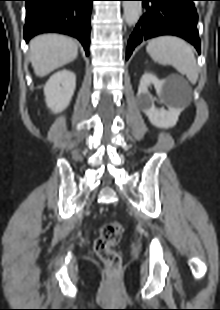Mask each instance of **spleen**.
Segmentation results:
<instances>
[{
  "label": "spleen",
  "instance_id": "obj_1",
  "mask_svg": "<svg viewBox=\"0 0 220 310\" xmlns=\"http://www.w3.org/2000/svg\"><path fill=\"white\" fill-rule=\"evenodd\" d=\"M150 57L161 65H172L178 72L186 75L190 83L197 82V64L191 46L184 40L173 36L152 39L146 48Z\"/></svg>",
  "mask_w": 220,
  "mask_h": 310
}]
</instances>
